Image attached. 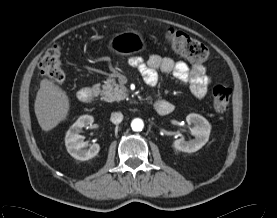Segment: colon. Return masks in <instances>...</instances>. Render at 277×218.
Masks as SVG:
<instances>
[{
	"mask_svg": "<svg viewBox=\"0 0 277 218\" xmlns=\"http://www.w3.org/2000/svg\"><path fill=\"white\" fill-rule=\"evenodd\" d=\"M165 40L175 53L190 62L201 63L208 59L207 47L183 32L175 30L167 31L165 33ZM61 55V47L55 44L45 52L39 63L41 74L57 83H61L65 79ZM231 95L232 90L229 87L224 85L215 86L212 91L214 110L220 113L226 111Z\"/></svg>",
	"mask_w": 277,
	"mask_h": 218,
	"instance_id": "obj_1",
	"label": "colon"
}]
</instances>
